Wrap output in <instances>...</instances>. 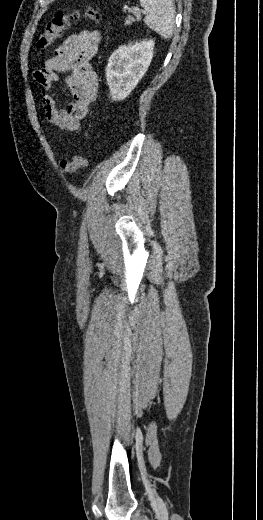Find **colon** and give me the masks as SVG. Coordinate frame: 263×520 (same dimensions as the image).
<instances>
[{
  "label": "colon",
  "mask_w": 263,
  "mask_h": 520,
  "mask_svg": "<svg viewBox=\"0 0 263 520\" xmlns=\"http://www.w3.org/2000/svg\"><path fill=\"white\" fill-rule=\"evenodd\" d=\"M82 15L93 20L100 21V14L97 9L91 5L87 6L84 11L79 9H70L66 11H58L53 18L47 23L44 30L38 37L36 42L37 50L48 49L57 38L69 27L71 22L79 19ZM87 165V159L83 155H76L70 159L60 162L61 170L66 174H74L83 169Z\"/></svg>",
  "instance_id": "5ec220e1"
}]
</instances>
